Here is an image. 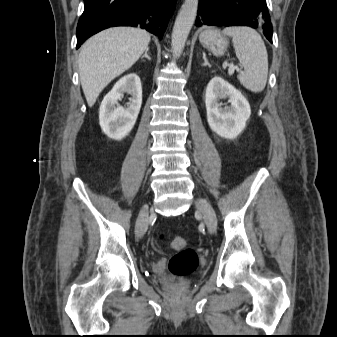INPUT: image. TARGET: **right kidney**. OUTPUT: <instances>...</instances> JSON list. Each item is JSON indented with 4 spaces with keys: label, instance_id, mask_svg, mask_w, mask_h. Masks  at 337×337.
Listing matches in <instances>:
<instances>
[{
    "label": "right kidney",
    "instance_id": "1",
    "mask_svg": "<svg viewBox=\"0 0 337 337\" xmlns=\"http://www.w3.org/2000/svg\"><path fill=\"white\" fill-rule=\"evenodd\" d=\"M124 93L132 96L125 109L118 106V100L123 98ZM141 104L142 87L139 76L130 73L119 79L100 105L99 123L103 132L115 140L127 136L135 125Z\"/></svg>",
    "mask_w": 337,
    "mask_h": 337
}]
</instances>
